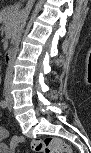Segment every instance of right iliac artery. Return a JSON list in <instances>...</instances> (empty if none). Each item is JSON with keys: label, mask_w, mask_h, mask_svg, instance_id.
Masks as SVG:
<instances>
[{"label": "right iliac artery", "mask_w": 91, "mask_h": 153, "mask_svg": "<svg viewBox=\"0 0 91 153\" xmlns=\"http://www.w3.org/2000/svg\"><path fill=\"white\" fill-rule=\"evenodd\" d=\"M7 105H8V102H7L6 100H2V101L0 102V106H1L2 108H6Z\"/></svg>", "instance_id": "1"}]
</instances>
